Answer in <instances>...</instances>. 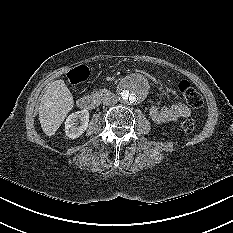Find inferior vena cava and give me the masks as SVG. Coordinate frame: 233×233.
Wrapping results in <instances>:
<instances>
[{
  "label": "inferior vena cava",
  "mask_w": 233,
  "mask_h": 233,
  "mask_svg": "<svg viewBox=\"0 0 233 233\" xmlns=\"http://www.w3.org/2000/svg\"><path fill=\"white\" fill-rule=\"evenodd\" d=\"M118 101V98L116 95L112 94L110 95L109 97H106L104 100H103V105H114L116 104Z\"/></svg>",
  "instance_id": "inferior-vena-cava-1"
}]
</instances>
